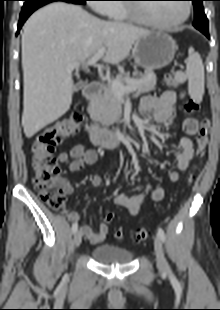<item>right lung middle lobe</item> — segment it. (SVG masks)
<instances>
[{"label": "right lung middle lobe", "mask_w": 220, "mask_h": 310, "mask_svg": "<svg viewBox=\"0 0 220 310\" xmlns=\"http://www.w3.org/2000/svg\"><path fill=\"white\" fill-rule=\"evenodd\" d=\"M26 4H31V3H37V2H41L44 0H24ZM82 2L85 3L86 0H81Z\"/></svg>", "instance_id": "obj_1"}]
</instances>
